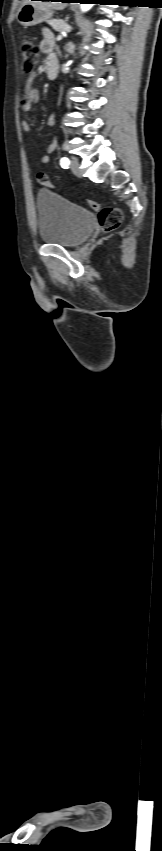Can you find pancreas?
<instances>
[{
    "mask_svg": "<svg viewBox=\"0 0 162 851\" xmlns=\"http://www.w3.org/2000/svg\"><path fill=\"white\" fill-rule=\"evenodd\" d=\"M48 24L51 25L55 31H59V32L69 31L71 29V27L67 23H65V21L60 20V19L59 20H56V19L50 20V21H48Z\"/></svg>",
    "mask_w": 162,
    "mask_h": 851,
    "instance_id": "pancreas-1",
    "label": "pancreas"
}]
</instances>
